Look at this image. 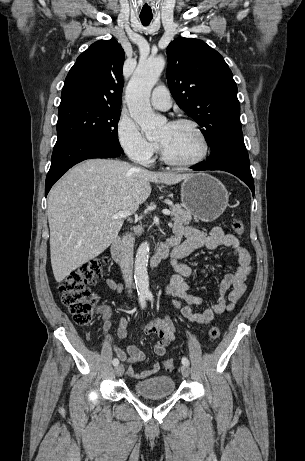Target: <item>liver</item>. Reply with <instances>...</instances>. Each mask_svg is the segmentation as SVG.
<instances>
[{
	"label": "liver",
	"instance_id": "1",
	"mask_svg": "<svg viewBox=\"0 0 305 461\" xmlns=\"http://www.w3.org/2000/svg\"><path fill=\"white\" fill-rule=\"evenodd\" d=\"M190 174L159 173L108 159L86 160L69 170L48 195L51 265L61 282L101 254L117 237L120 211L135 212L150 182L177 184Z\"/></svg>",
	"mask_w": 305,
	"mask_h": 461
}]
</instances>
